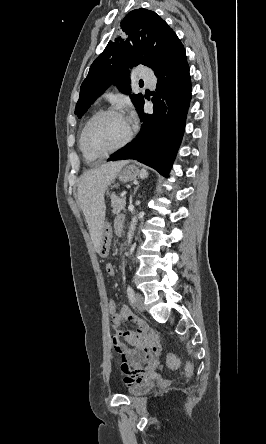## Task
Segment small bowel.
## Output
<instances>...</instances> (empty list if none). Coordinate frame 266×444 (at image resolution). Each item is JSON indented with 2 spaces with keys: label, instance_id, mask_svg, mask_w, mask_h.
I'll use <instances>...</instances> for the list:
<instances>
[{
  "label": "small bowel",
  "instance_id": "small-bowel-1",
  "mask_svg": "<svg viewBox=\"0 0 266 444\" xmlns=\"http://www.w3.org/2000/svg\"><path fill=\"white\" fill-rule=\"evenodd\" d=\"M123 227L124 219L118 217L115 221L117 235L122 234ZM106 271L110 276L115 275L112 264L106 265ZM123 323H133L137 329L131 330L121 326ZM110 324L115 331L111 336V344L119 355L121 370L125 374V384L130 387L158 379L162 367L157 360L160 349L157 333L149 330L145 322L125 305L121 306L111 318ZM128 345L133 348H129Z\"/></svg>",
  "mask_w": 266,
  "mask_h": 444
}]
</instances>
